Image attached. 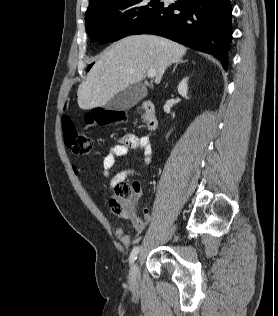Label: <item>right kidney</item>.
<instances>
[{
    "label": "right kidney",
    "instance_id": "right-kidney-1",
    "mask_svg": "<svg viewBox=\"0 0 278 316\" xmlns=\"http://www.w3.org/2000/svg\"><path fill=\"white\" fill-rule=\"evenodd\" d=\"M188 77L184 78L178 85V93L188 99L187 92H188Z\"/></svg>",
    "mask_w": 278,
    "mask_h": 316
}]
</instances>
